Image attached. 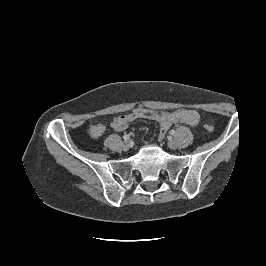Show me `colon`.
Returning a JSON list of instances; mask_svg holds the SVG:
<instances>
[{"mask_svg": "<svg viewBox=\"0 0 266 266\" xmlns=\"http://www.w3.org/2000/svg\"><path fill=\"white\" fill-rule=\"evenodd\" d=\"M133 115L137 117H151V116H157V115H164L166 114L165 111L160 109H151L146 107H137L133 111H131ZM205 130L211 132L214 130V127L209 124L204 125Z\"/></svg>", "mask_w": 266, "mask_h": 266, "instance_id": "obj_1", "label": "colon"}]
</instances>
